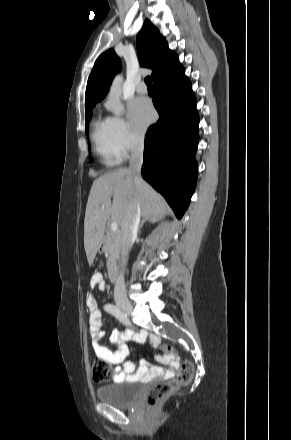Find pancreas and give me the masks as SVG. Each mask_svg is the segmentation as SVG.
<instances>
[{
  "label": "pancreas",
  "instance_id": "1",
  "mask_svg": "<svg viewBox=\"0 0 291 440\" xmlns=\"http://www.w3.org/2000/svg\"><path fill=\"white\" fill-rule=\"evenodd\" d=\"M103 249L105 253L108 255L107 264H114L119 258L120 248H121V239L118 233H112L110 231L106 232V235L103 238Z\"/></svg>",
  "mask_w": 291,
  "mask_h": 440
}]
</instances>
